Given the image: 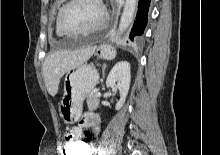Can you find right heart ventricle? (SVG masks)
<instances>
[{
    "mask_svg": "<svg viewBox=\"0 0 220 155\" xmlns=\"http://www.w3.org/2000/svg\"><path fill=\"white\" fill-rule=\"evenodd\" d=\"M56 33H57L58 36H64V34H62V33L59 32V30L57 29V27H56Z\"/></svg>",
    "mask_w": 220,
    "mask_h": 155,
    "instance_id": "obj_1",
    "label": "right heart ventricle"
}]
</instances>
